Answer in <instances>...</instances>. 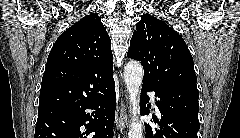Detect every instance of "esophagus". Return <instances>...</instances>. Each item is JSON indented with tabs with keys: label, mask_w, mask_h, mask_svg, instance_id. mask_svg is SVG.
<instances>
[{
	"label": "esophagus",
	"mask_w": 240,
	"mask_h": 138,
	"mask_svg": "<svg viewBox=\"0 0 240 138\" xmlns=\"http://www.w3.org/2000/svg\"><path fill=\"white\" fill-rule=\"evenodd\" d=\"M127 110H128V103L124 100H121L120 102V116L117 118V124H118V129L120 132L123 134L125 128L128 125V115H127Z\"/></svg>",
	"instance_id": "34e87169"
}]
</instances>
